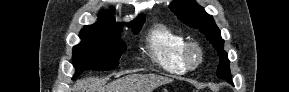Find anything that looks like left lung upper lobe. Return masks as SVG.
Listing matches in <instances>:
<instances>
[{"label": "left lung upper lobe", "mask_w": 289, "mask_h": 92, "mask_svg": "<svg viewBox=\"0 0 289 92\" xmlns=\"http://www.w3.org/2000/svg\"><path fill=\"white\" fill-rule=\"evenodd\" d=\"M169 8L182 22L192 28L199 29L206 36L220 57L217 69L218 78L231 81L229 60L224 50V40L221 38L220 30L213 17L207 14L204 8L194 0H175L169 5Z\"/></svg>", "instance_id": "1"}]
</instances>
